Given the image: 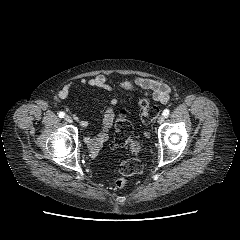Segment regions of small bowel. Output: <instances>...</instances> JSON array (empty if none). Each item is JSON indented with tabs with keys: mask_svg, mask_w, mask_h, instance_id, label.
Listing matches in <instances>:
<instances>
[{
	"mask_svg": "<svg viewBox=\"0 0 240 240\" xmlns=\"http://www.w3.org/2000/svg\"><path fill=\"white\" fill-rule=\"evenodd\" d=\"M81 85H88L90 87L98 88L106 92H112L113 86L108 80V78L99 74L88 79H81ZM118 87L125 91H135L140 90L147 96H151L154 100L161 103H167L170 98L171 89L166 84L145 77H136L134 80H127L123 78L118 79ZM71 92V84H65L62 89L58 91V97L65 99L69 96ZM117 104V100L114 97L108 99V105L103 114L102 129L99 134L95 136H88L85 138V144L92 151H98L103 144L108 140V132L112 127L115 120V110L114 107ZM76 120L78 118L74 116ZM83 127H88L92 124L91 120L80 121Z\"/></svg>",
	"mask_w": 240,
	"mask_h": 240,
	"instance_id": "small-bowel-1",
	"label": "small bowel"
}]
</instances>
